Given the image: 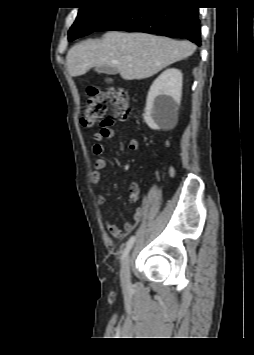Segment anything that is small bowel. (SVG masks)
<instances>
[{
	"label": "small bowel",
	"mask_w": 254,
	"mask_h": 355,
	"mask_svg": "<svg viewBox=\"0 0 254 355\" xmlns=\"http://www.w3.org/2000/svg\"><path fill=\"white\" fill-rule=\"evenodd\" d=\"M115 125V121L113 119H105L103 121L102 127L99 131L94 133L93 140L94 144L92 146L93 153L98 156L95 161V170L91 173L90 180L93 185H99L101 182V171L104 170L107 166V162L105 158L101 155L104 153V146L102 141L105 139H111L115 135V131L113 126ZM138 147V142L135 139H131L129 142V150L134 151ZM125 155H130V152H125ZM174 174V169H170V174ZM140 187L137 182H132L129 187V195L128 202L130 204H136L139 200ZM99 203L104 206L106 204V197L104 195L99 196ZM144 210L142 208H138L135 211L134 218L131 222L126 223L123 228H119L117 225L106 221V228L108 232L117 239H122L127 233L131 232L141 219Z\"/></svg>",
	"instance_id": "obj_1"
}]
</instances>
